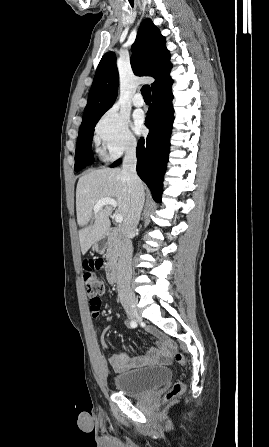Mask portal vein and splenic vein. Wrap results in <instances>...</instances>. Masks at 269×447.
<instances>
[{
  "label": "portal vein and splenic vein",
  "mask_w": 269,
  "mask_h": 447,
  "mask_svg": "<svg viewBox=\"0 0 269 447\" xmlns=\"http://www.w3.org/2000/svg\"><path fill=\"white\" fill-rule=\"evenodd\" d=\"M102 206H113V208H117V202L116 200H112V198H102V200H99L96 206H94V212H99ZM115 222H119V224L120 222H123L121 214H117V216H115Z\"/></svg>",
  "instance_id": "obj_1"
}]
</instances>
